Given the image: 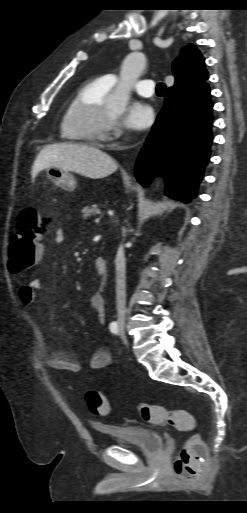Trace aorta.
<instances>
[{"label": "aorta", "instance_id": "1", "mask_svg": "<svg viewBox=\"0 0 247 513\" xmlns=\"http://www.w3.org/2000/svg\"><path fill=\"white\" fill-rule=\"evenodd\" d=\"M146 65L143 53L132 52L124 59L120 79L114 92L108 99V107L116 113H123L128 103L131 89L135 81L140 77Z\"/></svg>", "mask_w": 247, "mask_h": 513}]
</instances>
